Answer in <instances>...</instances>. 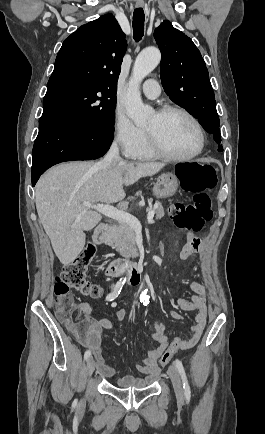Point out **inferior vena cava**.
I'll list each match as a JSON object with an SVG mask.
<instances>
[{"label": "inferior vena cava", "mask_w": 265, "mask_h": 434, "mask_svg": "<svg viewBox=\"0 0 265 434\" xmlns=\"http://www.w3.org/2000/svg\"><path fill=\"white\" fill-rule=\"evenodd\" d=\"M118 162H123L126 164L122 158L119 156V146L118 142H113L108 154H106L104 160L100 162V168H109V166H113V164H118Z\"/></svg>", "instance_id": "1"}]
</instances>
